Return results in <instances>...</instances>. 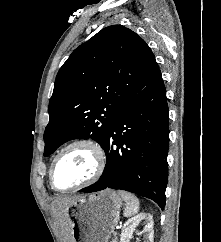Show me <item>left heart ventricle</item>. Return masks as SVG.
I'll use <instances>...</instances> for the list:
<instances>
[{"instance_id":"b2bd125f","label":"left heart ventricle","mask_w":221,"mask_h":242,"mask_svg":"<svg viewBox=\"0 0 221 242\" xmlns=\"http://www.w3.org/2000/svg\"><path fill=\"white\" fill-rule=\"evenodd\" d=\"M95 167L92 152L84 146L68 149L58 160L53 172L58 188H68L88 179Z\"/></svg>"}]
</instances>
